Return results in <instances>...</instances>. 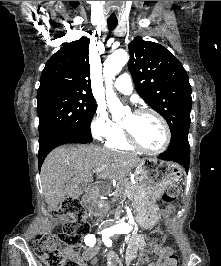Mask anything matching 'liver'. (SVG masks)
Masks as SVG:
<instances>
[{
    "mask_svg": "<svg viewBox=\"0 0 221 266\" xmlns=\"http://www.w3.org/2000/svg\"><path fill=\"white\" fill-rule=\"evenodd\" d=\"M141 159L132 153L112 151L95 145H64L46 157L41 182L48 208L54 210L67 193L92 181V171L104 169L98 179L123 180Z\"/></svg>",
    "mask_w": 221,
    "mask_h": 266,
    "instance_id": "liver-1",
    "label": "liver"
}]
</instances>
